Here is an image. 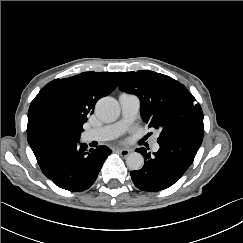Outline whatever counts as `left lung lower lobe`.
Here are the masks:
<instances>
[{"label": "left lung lower lobe", "mask_w": 243, "mask_h": 243, "mask_svg": "<svg viewBox=\"0 0 243 243\" xmlns=\"http://www.w3.org/2000/svg\"><path fill=\"white\" fill-rule=\"evenodd\" d=\"M204 129H187L159 142L153 156L145 148L136 151L144 157V166L131 171L133 183L142 191L157 192L176 183L192 164L202 143Z\"/></svg>", "instance_id": "left-lung-lower-lobe-1"}]
</instances>
